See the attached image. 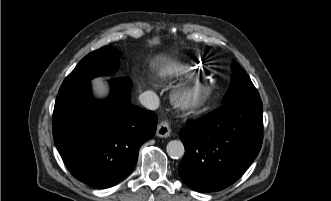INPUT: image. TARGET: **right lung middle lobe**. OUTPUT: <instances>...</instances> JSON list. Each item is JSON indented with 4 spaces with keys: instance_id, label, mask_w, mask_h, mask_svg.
Instances as JSON below:
<instances>
[{
    "instance_id": "1",
    "label": "right lung middle lobe",
    "mask_w": 331,
    "mask_h": 201,
    "mask_svg": "<svg viewBox=\"0 0 331 201\" xmlns=\"http://www.w3.org/2000/svg\"><path fill=\"white\" fill-rule=\"evenodd\" d=\"M119 52L110 46H104L85 56L76 68L65 78L59 95L88 83L93 77L116 71L119 64Z\"/></svg>"
}]
</instances>
